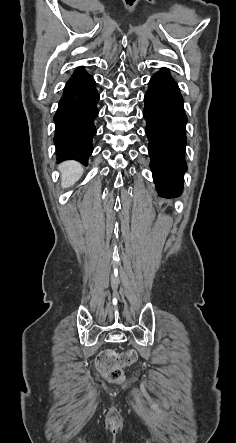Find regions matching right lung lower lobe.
I'll use <instances>...</instances> for the list:
<instances>
[{"label":"right lung lower lobe","mask_w":236,"mask_h":443,"mask_svg":"<svg viewBox=\"0 0 236 443\" xmlns=\"http://www.w3.org/2000/svg\"><path fill=\"white\" fill-rule=\"evenodd\" d=\"M98 100L93 77L79 67L66 83L54 116L58 161L74 159L87 165L96 134L94 119L98 116Z\"/></svg>","instance_id":"98d812e1"}]
</instances>
